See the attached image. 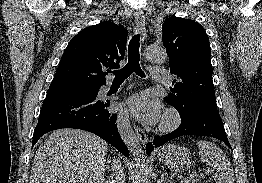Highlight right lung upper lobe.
<instances>
[{"instance_id": "obj_1", "label": "right lung upper lobe", "mask_w": 262, "mask_h": 183, "mask_svg": "<svg viewBox=\"0 0 262 183\" xmlns=\"http://www.w3.org/2000/svg\"><path fill=\"white\" fill-rule=\"evenodd\" d=\"M127 36L125 28L110 21L80 31L66 47L48 92L104 85L109 69L124 58Z\"/></svg>"}]
</instances>
